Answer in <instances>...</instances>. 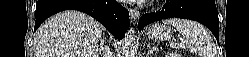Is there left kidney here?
<instances>
[{"label": "left kidney", "mask_w": 249, "mask_h": 57, "mask_svg": "<svg viewBox=\"0 0 249 57\" xmlns=\"http://www.w3.org/2000/svg\"><path fill=\"white\" fill-rule=\"evenodd\" d=\"M165 57H181V55H179L178 53H169Z\"/></svg>", "instance_id": "1"}]
</instances>
